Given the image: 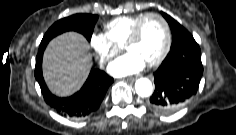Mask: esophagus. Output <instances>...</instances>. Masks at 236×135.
<instances>
[{
  "label": "esophagus",
  "mask_w": 236,
  "mask_h": 135,
  "mask_svg": "<svg viewBox=\"0 0 236 135\" xmlns=\"http://www.w3.org/2000/svg\"><path fill=\"white\" fill-rule=\"evenodd\" d=\"M126 80L129 81V82H132V81L135 80V77H128V78H126Z\"/></svg>",
  "instance_id": "obj_1"
}]
</instances>
